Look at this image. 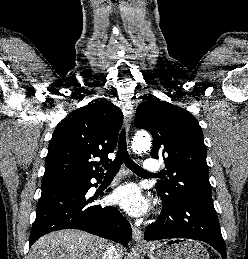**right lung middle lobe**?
Listing matches in <instances>:
<instances>
[{
    "instance_id": "right-lung-middle-lobe-1",
    "label": "right lung middle lobe",
    "mask_w": 248,
    "mask_h": 259,
    "mask_svg": "<svg viewBox=\"0 0 248 259\" xmlns=\"http://www.w3.org/2000/svg\"><path fill=\"white\" fill-rule=\"evenodd\" d=\"M70 183H76V182H68V183H62V184H70ZM62 184H57V185H62ZM49 186H56V185H49ZM45 187H48V186H42V188H45Z\"/></svg>"
}]
</instances>
